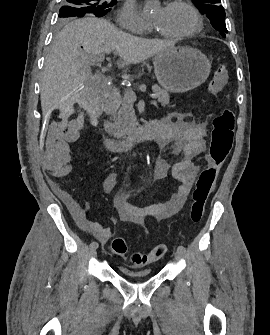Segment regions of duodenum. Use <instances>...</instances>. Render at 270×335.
Masks as SVG:
<instances>
[{
  "label": "duodenum",
  "mask_w": 270,
  "mask_h": 335,
  "mask_svg": "<svg viewBox=\"0 0 270 335\" xmlns=\"http://www.w3.org/2000/svg\"><path fill=\"white\" fill-rule=\"evenodd\" d=\"M104 95V112L107 116L114 114L119 108L121 101V94L119 90L109 84L103 85ZM109 121L106 120L104 123L105 134L103 138L104 146L107 150L113 153H119L126 151L143 140L154 139L157 140L160 137V123L157 120L148 121L127 136L116 138L108 134L107 128Z\"/></svg>",
  "instance_id": "1"
}]
</instances>
